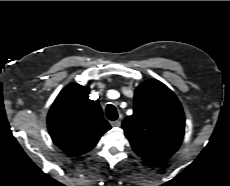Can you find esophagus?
Returning a JSON list of instances; mask_svg holds the SVG:
<instances>
[{
	"label": "esophagus",
	"instance_id": "1",
	"mask_svg": "<svg viewBox=\"0 0 230 186\" xmlns=\"http://www.w3.org/2000/svg\"><path fill=\"white\" fill-rule=\"evenodd\" d=\"M110 124L112 127L117 128V127H120L121 122L119 120H115V121H111Z\"/></svg>",
	"mask_w": 230,
	"mask_h": 186
}]
</instances>
